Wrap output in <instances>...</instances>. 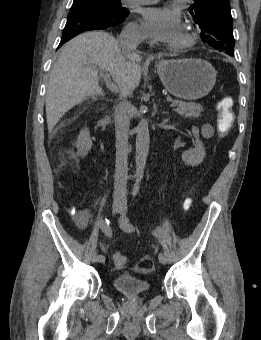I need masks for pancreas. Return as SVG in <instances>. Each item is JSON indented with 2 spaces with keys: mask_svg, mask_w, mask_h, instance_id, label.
<instances>
[{
  "mask_svg": "<svg viewBox=\"0 0 261 340\" xmlns=\"http://www.w3.org/2000/svg\"><path fill=\"white\" fill-rule=\"evenodd\" d=\"M173 103L177 104V108L174 111L186 118H198L203 111V107L200 104L177 100H174Z\"/></svg>",
  "mask_w": 261,
  "mask_h": 340,
  "instance_id": "1",
  "label": "pancreas"
}]
</instances>
